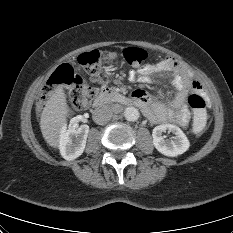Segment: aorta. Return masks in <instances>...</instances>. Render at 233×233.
Segmentation results:
<instances>
[{
	"label": "aorta",
	"mask_w": 233,
	"mask_h": 233,
	"mask_svg": "<svg viewBox=\"0 0 233 233\" xmlns=\"http://www.w3.org/2000/svg\"><path fill=\"white\" fill-rule=\"evenodd\" d=\"M139 111L138 109L134 108V107H127L124 111V116L126 118V120L134 122L137 121L139 119Z\"/></svg>",
	"instance_id": "762f6f07"
}]
</instances>
